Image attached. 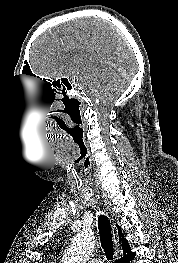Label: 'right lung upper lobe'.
<instances>
[{
    "instance_id": "right-lung-upper-lobe-1",
    "label": "right lung upper lobe",
    "mask_w": 178,
    "mask_h": 263,
    "mask_svg": "<svg viewBox=\"0 0 178 263\" xmlns=\"http://www.w3.org/2000/svg\"><path fill=\"white\" fill-rule=\"evenodd\" d=\"M116 226H117V228H118V233H119V237H120L119 241L122 242V247H123L124 256H127L128 254L131 253V251H130V246H129V244H128V241L123 237V234H122V231H121L120 227H119L118 225H116ZM124 256H123V257H124ZM121 258H122V257H121ZM121 258L118 259L117 261L119 262V261L121 260Z\"/></svg>"
}]
</instances>
